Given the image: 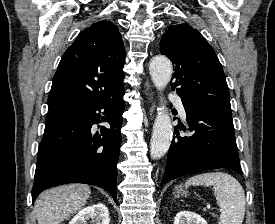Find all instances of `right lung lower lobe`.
Masks as SVG:
<instances>
[{
  "label": "right lung lower lobe",
  "mask_w": 275,
  "mask_h": 224,
  "mask_svg": "<svg viewBox=\"0 0 275 224\" xmlns=\"http://www.w3.org/2000/svg\"><path fill=\"white\" fill-rule=\"evenodd\" d=\"M124 88L99 102L77 108L51 111L38 148L32 200L45 189L67 184L85 183L109 191L116 196V164L121 143L120 128ZM110 128L94 132L92 125L104 121Z\"/></svg>",
  "instance_id": "right-lung-lower-lobe-1"
}]
</instances>
